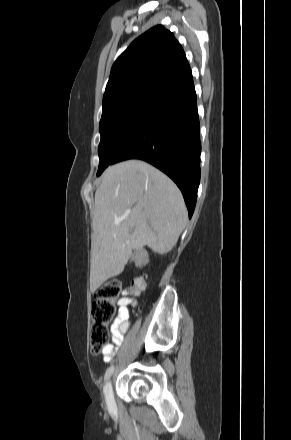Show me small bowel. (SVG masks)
Returning <instances> with one entry per match:
<instances>
[{
  "label": "small bowel",
  "instance_id": "small-bowel-1",
  "mask_svg": "<svg viewBox=\"0 0 291 440\" xmlns=\"http://www.w3.org/2000/svg\"><path fill=\"white\" fill-rule=\"evenodd\" d=\"M129 299L126 297L118 301V312L114 321L110 325V332L112 335V343L104 351V360L110 361L115 353V347L121 345L124 340V335L128 331L131 321L129 319V311L127 304Z\"/></svg>",
  "mask_w": 291,
  "mask_h": 440
}]
</instances>
